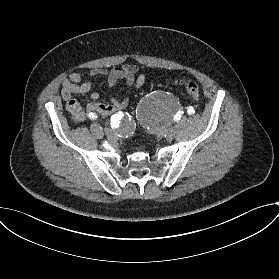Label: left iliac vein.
<instances>
[{
    "mask_svg": "<svg viewBox=\"0 0 279 279\" xmlns=\"http://www.w3.org/2000/svg\"><path fill=\"white\" fill-rule=\"evenodd\" d=\"M158 134L167 141H172L174 139V134L171 128L162 129L158 132Z\"/></svg>",
    "mask_w": 279,
    "mask_h": 279,
    "instance_id": "obj_1",
    "label": "left iliac vein"
}]
</instances>
